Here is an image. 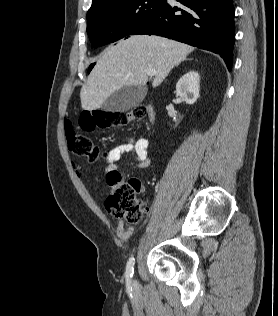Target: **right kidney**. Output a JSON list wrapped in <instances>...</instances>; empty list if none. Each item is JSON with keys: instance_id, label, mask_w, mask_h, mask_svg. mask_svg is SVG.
<instances>
[{"instance_id": "ca27d5eb", "label": "right kidney", "mask_w": 278, "mask_h": 316, "mask_svg": "<svg viewBox=\"0 0 278 316\" xmlns=\"http://www.w3.org/2000/svg\"><path fill=\"white\" fill-rule=\"evenodd\" d=\"M200 76L195 71L185 73L176 84V94L188 104H194L199 98Z\"/></svg>"}]
</instances>
